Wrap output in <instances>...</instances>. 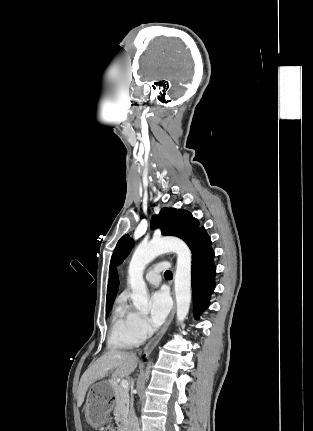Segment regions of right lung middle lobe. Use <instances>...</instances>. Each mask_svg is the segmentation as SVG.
I'll return each instance as SVG.
<instances>
[{
	"label": "right lung middle lobe",
	"mask_w": 313,
	"mask_h": 431,
	"mask_svg": "<svg viewBox=\"0 0 313 431\" xmlns=\"http://www.w3.org/2000/svg\"><path fill=\"white\" fill-rule=\"evenodd\" d=\"M111 307H112V306H110V307H107V308H106V313L110 312Z\"/></svg>",
	"instance_id": "obj_1"
}]
</instances>
